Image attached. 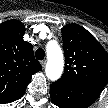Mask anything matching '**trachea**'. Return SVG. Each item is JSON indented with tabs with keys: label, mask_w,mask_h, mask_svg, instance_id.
I'll return each mask as SVG.
<instances>
[{
	"label": "trachea",
	"mask_w": 108,
	"mask_h": 108,
	"mask_svg": "<svg viewBox=\"0 0 108 108\" xmlns=\"http://www.w3.org/2000/svg\"><path fill=\"white\" fill-rule=\"evenodd\" d=\"M35 56L38 60H43L45 57V51L43 49H37L35 52Z\"/></svg>",
	"instance_id": "obj_1"
}]
</instances>
